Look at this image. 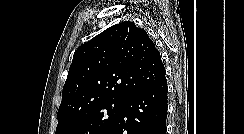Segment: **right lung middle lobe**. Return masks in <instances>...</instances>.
<instances>
[{
	"label": "right lung middle lobe",
	"mask_w": 244,
	"mask_h": 134,
	"mask_svg": "<svg viewBox=\"0 0 244 134\" xmlns=\"http://www.w3.org/2000/svg\"><path fill=\"white\" fill-rule=\"evenodd\" d=\"M125 99H109L90 105L76 115L58 120L56 134H103L117 119Z\"/></svg>",
	"instance_id": "obj_1"
}]
</instances>
